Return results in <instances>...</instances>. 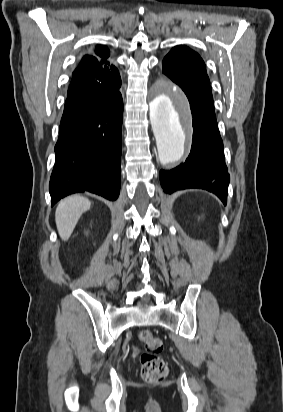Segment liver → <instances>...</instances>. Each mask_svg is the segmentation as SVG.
Returning a JSON list of instances; mask_svg holds the SVG:
<instances>
[{
  "mask_svg": "<svg viewBox=\"0 0 283 412\" xmlns=\"http://www.w3.org/2000/svg\"><path fill=\"white\" fill-rule=\"evenodd\" d=\"M91 202L81 196H71L60 201L55 212V221L59 236L67 241L81 215L89 210Z\"/></svg>",
  "mask_w": 283,
  "mask_h": 412,
  "instance_id": "obj_1",
  "label": "liver"
}]
</instances>
